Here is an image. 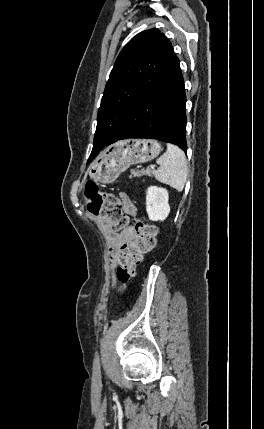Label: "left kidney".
<instances>
[{"instance_id":"5707ae66","label":"left kidney","mask_w":264,"mask_h":429,"mask_svg":"<svg viewBox=\"0 0 264 429\" xmlns=\"http://www.w3.org/2000/svg\"><path fill=\"white\" fill-rule=\"evenodd\" d=\"M168 191L165 188L150 186L146 194V211L152 221H163L170 213Z\"/></svg>"}]
</instances>
